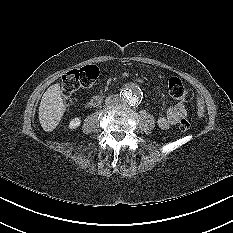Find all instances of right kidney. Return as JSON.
Wrapping results in <instances>:
<instances>
[{"label": "right kidney", "instance_id": "right-kidney-1", "mask_svg": "<svg viewBox=\"0 0 233 233\" xmlns=\"http://www.w3.org/2000/svg\"><path fill=\"white\" fill-rule=\"evenodd\" d=\"M80 124H81V119L76 117L70 121L69 128L74 130V129L78 128L80 126Z\"/></svg>", "mask_w": 233, "mask_h": 233}]
</instances>
